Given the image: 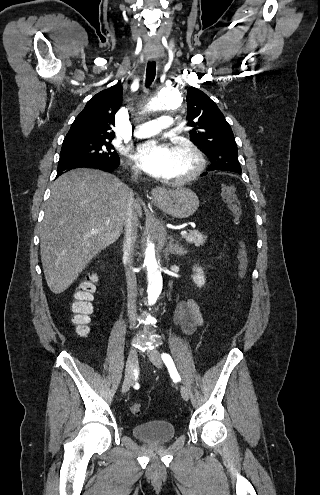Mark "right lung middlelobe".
<instances>
[{"label": "right lung middle lobe", "instance_id": "1", "mask_svg": "<svg viewBox=\"0 0 320 495\" xmlns=\"http://www.w3.org/2000/svg\"><path fill=\"white\" fill-rule=\"evenodd\" d=\"M111 141L104 139L64 140L58 170L87 162H119L120 158L114 151Z\"/></svg>", "mask_w": 320, "mask_h": 495}]
</instances>
